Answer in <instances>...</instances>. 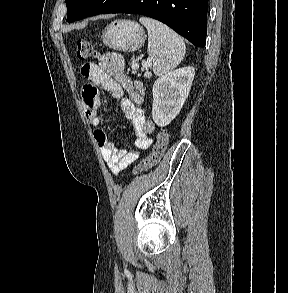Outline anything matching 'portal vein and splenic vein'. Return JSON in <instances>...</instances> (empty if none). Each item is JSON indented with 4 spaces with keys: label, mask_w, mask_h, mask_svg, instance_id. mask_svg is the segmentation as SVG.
<instances>
[{
    "label": "portal vein and splenic vein",
    "mask_w": 288,
    "mask_h": 293,
    "mask_svg": "<svg viewBox=\"0 0 288 293\" xmlns=\"http://www.w3.org/2000/svg\"><path fill=\"white\" fill-rule=\"evenodd\" d=\"M151 65V59H149L146 63L143 64V67L148 68ZM139 68L138 64H133L132 69L137 70Z\"/></svg>",
    "instance_id": "1"
}]
</instances>
